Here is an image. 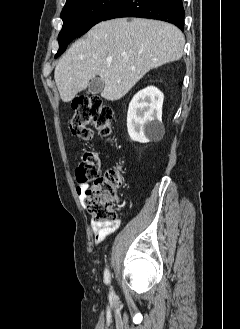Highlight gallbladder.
<instances>
[{
  "label": "gallbladder",
  "mask_w": 240,
  "mask_h": 329,
  "mask_svg": "<svg viewBox=\"0 0 240 329\" xmlns=\"http://www.w3.org/2000/svg\"><path fill=\"white\" fill-rule=\"evenodd\" d=\"M104 89V82L101 78H94L89 82L88 85V93L90 94H98L101 93Z\"/></svg>",
  "instance_id": "gallbladder-1"
}]
</instances>
